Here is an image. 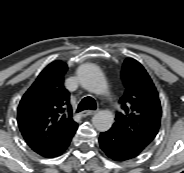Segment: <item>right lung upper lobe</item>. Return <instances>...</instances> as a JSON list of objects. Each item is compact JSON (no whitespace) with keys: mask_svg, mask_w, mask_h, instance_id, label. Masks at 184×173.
Returning <instances> with one entry per match:
<instances>
[{"mask_svg":"<svg viewBox=\"0 0 184 173\" xmlns=\"http://www.w3.org/2000/svg\"><path fill=\"white\" fill-rule=\"evenodd\" d=\"M67 69L62 61L49 64L20 101L18 126L36 153L50 150L78 126L72 119L70 94L64 87Z\"/></svg>","mask_w":184,"mask_h":173,"instance_id":"1","label":"right lung upper lobe"}]
</instances>
